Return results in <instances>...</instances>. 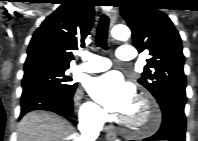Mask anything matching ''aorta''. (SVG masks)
<instances>
[{
  "instance_id": "obj_1",
  "label": "aorta",
  "mask_w": 198,
  "mask_h": 141,
  "mask_svg": "<svg viewBox=\"0 0 198 141\" xmlns=\"http://www.w3.org/2000/svg\"><path fill=\"white\" fill-rule=\"evenodd\" d=\"M111 35L117 40H127L130 37L131 32L125 25H116L113 27Z\"/></svg>"
}]
</instances>
